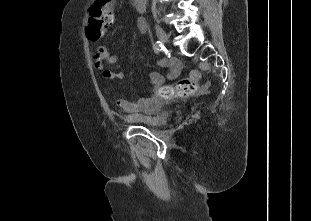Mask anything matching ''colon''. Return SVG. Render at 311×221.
<instances>
[{"mask_svg": "<svg viewBox=\"0 0 311 221\" xmlns=\"http://www.w3.org/2000/svg\"><path fill=\"white\" fill-rule=\"evenodd\" d=\"M112 2L113 0H96L91 8V24L87 26L86 39H99L100 30L109 29L113 21ZM200 78V74L194 70L188 77L165 87L159 96L161 99L190 97L199 91Z\"/></svg>", "mask_w": 311, "mask_h": 221, "instance_id": "colon-1", "label": "colon"}]
</instances>
